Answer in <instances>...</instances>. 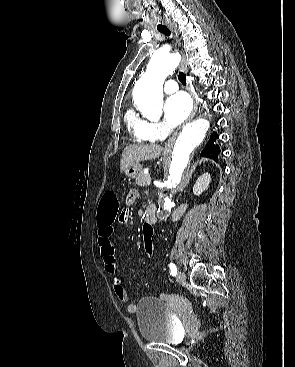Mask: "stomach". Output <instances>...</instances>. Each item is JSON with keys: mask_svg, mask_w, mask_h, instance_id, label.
<instances>
[{"mask_svg": "<svg viewBox=\"0 0 295 367\" xmlns=\"http://www.w3.org/2000/svg\"><path fill=\"white\" fill-rule=\"evenodd\" d=\"M142 170V166L139 163H136L134 165L129 166L126 170H125V174L129 177V178H137L139 176V174L141 173Z\"/></svg>", "mask_w": 295, "mask_h": 367, "instance_id": "1", "label": "stomach"}]
</instances>
